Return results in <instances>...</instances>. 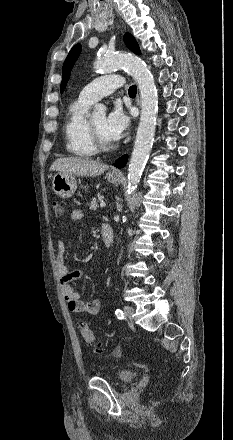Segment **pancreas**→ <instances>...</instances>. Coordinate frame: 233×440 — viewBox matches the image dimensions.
<instances>
[{
	"label": "pancreas",
	"mask_w": 233,
	"mask_h": 440,
	"mask_svg": "<svg viewBox=\"0 0 233 440\" xmlns=\"http://www.w3.org/2000/svg\"><path fill=\"white\" fill-rule=\"evenodd\" d=\"M88 207L91 211H95L99 207L97 199L93 198L92 201L88 204Z\"/></svg>",
	"instance_id": "pancreas-1"
}]
</instances>
